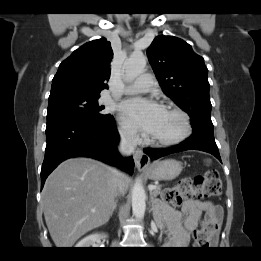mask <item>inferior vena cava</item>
Returning a JSON list of instances; mask_svg holds the SVG:
<instances>
[{
    "instance_id": "inferior-vena-cava-1",
    "label": "inferior vena cava",
    "mask_w": 261,
    "mask_h": 261,
    "mask_svg": "<svg viewBox=\"0 0 261 261\" xmlns=\"http://www.w3.org/2000/svg\"><path fill=\"white\" fill-rule=\"evenodd\" d=\"M120 143L118 146L119 152L123 156H129L132 153H134L135 147L138 142V136L135 132L132 131H124L120 134ZM116 178H117V185H116V190L117 193H123L125 190V186L123 185L121 181V175L122 173L116 170L115 172Z\"/></svg>"
}]
</instances>
